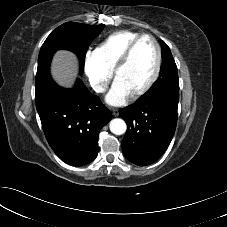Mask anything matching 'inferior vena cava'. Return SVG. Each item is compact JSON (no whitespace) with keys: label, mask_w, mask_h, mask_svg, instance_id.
Masks as SVG:
<instances>
[{"label":"inferior vena cava","mask_w":227,"mask_h":227,"mask_svg":"<svg viewBox=\"0 0 227 227\" xmlns=\"http://www.w3.org/2000/svg\"><path fill=\"white\" fill-rule=\"evenodd\" d=\"M92 88L93 90L96 92V93H103L106 91V88L104 85H101V84H98V83H94L92 85Z\"/></svg>","instance_id":"obj_1"}]
</instances>
